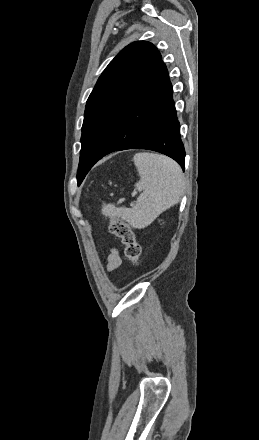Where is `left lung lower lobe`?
<instances>
[{
  "instance_id": "1",
  "label": "left lung lower lobe",
  "mask_w": 259,
  "mask_h": 440,
  "mask_svg": "<svg viewBox=\"0 0 259 440\" xmlns=\"http://www.w3.org/2000/svg\"><path fill=\"white\" fill-rule=\"evenodd\" d=\"M173 88L160 60L144 91L121 120L98 156L126 149H148L165 154L184 170L185 150L173 101Z\"/></svg>"
}]
</instances>
